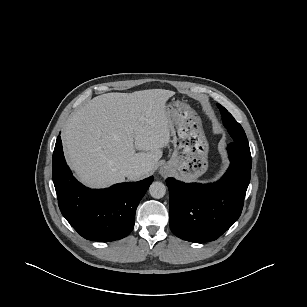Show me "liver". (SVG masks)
<instances>
[{
  "mask_svg": "<svg viewBox=\"0 0 307 307\" xmlns=\"http://www.w3.org/2000/svg\"><path fill=\"white\" fill-rule=\"evenodd\" d=\"M173 95L165 89L107 93L77 110L66 123L62 142L78 179L103 188L124 182L129 168L142 170L131 180L149 176L170 142L166 101Z\"/></svg>",
  "mask_w": 307,
  "mask_h": 307,
  "instance_id": "1",
  "label": "liver"
}]
</instances>
